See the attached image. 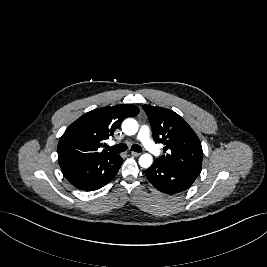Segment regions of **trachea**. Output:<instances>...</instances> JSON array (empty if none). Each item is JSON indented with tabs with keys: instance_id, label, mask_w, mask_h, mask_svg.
<instances>
[{
	"instance_id": "1",
	"label": "trachea",
	"mask_w": 267,
	"mask_h": 267,
	"mask_svg": "<svg viewBox=\"0 0 267 267\" xmlns=\"http://www.w3.org/2000/svg\"><path fill=\"white\" fill-rule=\"evenodd\" d=\"M106 149L111 151V152H114V153H120V152H124L127 150V145L126 144H117V145H114L112 147L106 146ZM131 150L139 153L142 151V148H141V146L134 144L131 146Z\"/></svg>"
}]
</instances>
